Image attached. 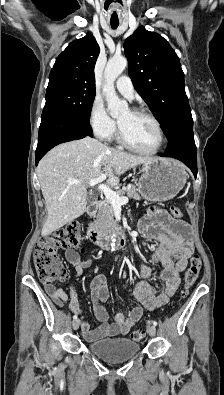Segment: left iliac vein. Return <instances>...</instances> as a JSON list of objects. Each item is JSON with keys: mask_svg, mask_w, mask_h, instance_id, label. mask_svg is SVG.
Segmentation results:
<instances>
[{"mask_svg": "<svg viewBox=\"0 0 224 395\" xmlns=\"http://www.w3.org/2000/svg\"><path fill=\"white\" fill-rule=\"evenodd\" d=\"M148 333L151 337H154L156 335V327L154 325L149 326Z\"/></svg>", "mask_w": 224, "mask_h": 395, "instance_id": "4c4485c4", "label": "left iliac vein"}]
</instances>
